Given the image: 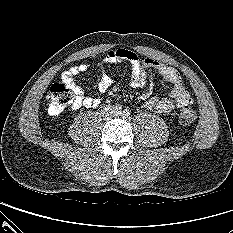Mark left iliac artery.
<instances>
[{"instance_id": "1", "label": "left iliac artery", "mask_w": 233, "mask_h": 233, "mask_svg": "<svg viewBox=\"0 0 233 233\" xmlns=\"http://www.w3.org/2000/svg\"><path fill=\"white\" fill-rule=\"evenodd\" d=\"M123 115H124V117H128V116L130 115L129 110L125 109V110L123 111Z\"/></svg>"}]
</instances>
